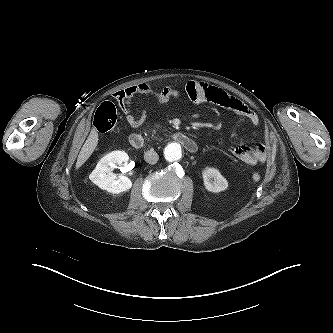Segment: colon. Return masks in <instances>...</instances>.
Instances as JSON below:
<instances>
[{"instance_id": "obj_1", "label": "colon", "mask_w": 333, "mask_h": 333, "mask_svg": "<svg viewBox=\"0 0 333 333\" xmlns=\"http://www.w3.org/2000/svg\"><path fill=\"white\" fill-rule=\"evenodd\" d=\"M117 123L116 108L111 102L102 103L96 110L93 124L94 127L101 133L109 132L114 129ZM252 180L254 182H259L261 180V175L259 173H254L252 175Z\"/></svg>"}]
</instances>
